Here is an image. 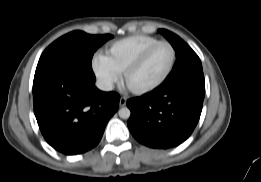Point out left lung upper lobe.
Returning <instances> with one entry per match:
<instances>
[{
    "instance_id": "obj_1",
    "label": "left lung upper lobe",
    "mask_w": 261,
    "mask_h": 182,
    "mask_svg": "<svg viewBox=\"0 0 261 182\" xmlns=\"http://www.w3.org/2000/svg\"><path fill=\"white\" fill-rule=\"evenodd\" d=\"M158 31L171 43L177 58L171 73L159 87L168 88L188 78L203 76L201 61L189 45L168 30Z\"/></svg>"
}]
</instances>
